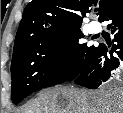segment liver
I'll use <instances>...</instances> for the list:
<instances>
[{"instance_id": "6515ba94", "label": "liver", "mask_w": 123, "mask_h": 113, "mask_svg": "<svg viewBox=\"0 0 123 113\" xmlns=\"http://www.w3.org/2000/svg\"><path fill=\"white\" fill-rule=\"evenodd\" d=\"M20 113H123V91L54 87L41 91Z\"/></svg>"}]
</instances>
